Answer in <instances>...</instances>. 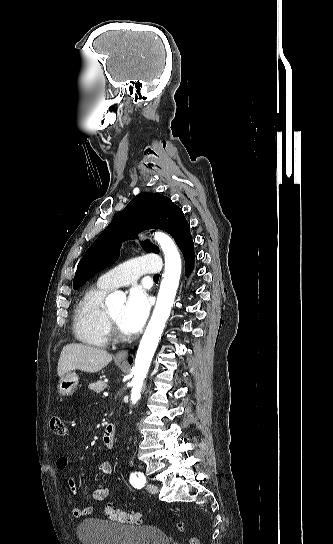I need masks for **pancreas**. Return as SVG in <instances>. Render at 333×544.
Wrapping results in <instances>:
<instances>
[{"label":"pancreas","instance_id":"obj_1","mask_svg":"<svg viewBox=\"0 0 333 544\" xmlns=\"http://www.w3.org/2000/svg\"><path fill=\"white\" fill-rule=\"evenodd\" d=\"M88 388L89 390L100 393L107 388V384L104 381L99 380L97 382L89 384Z\"/></svg>","mask_w":333,"mask_h":544}]
</instances>
